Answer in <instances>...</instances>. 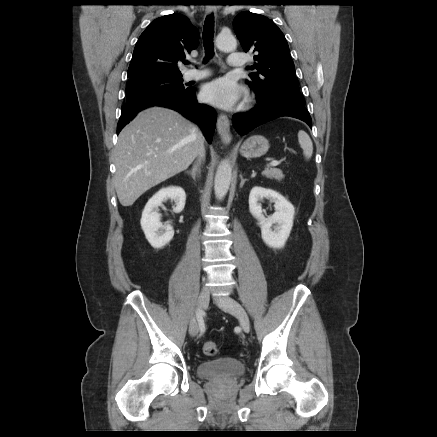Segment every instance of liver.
<instances>
[{
	"label": "liver",
	"mask_w": 437,
	"mask_h": 437,
	"mask_svg": "<svg viewBox=\"0 0 437 437\" xmlns=\"http://www.w3.org/2000/svg\"><path fill=\"white\" fill-rule=\"evenodd\" d=\"M204 143L202 133L178 112L150 107L123 128L114 149V185L122 206L186 170Z\"/></svg>",
	"instance_id": "obj_1"
}]
</instances>
